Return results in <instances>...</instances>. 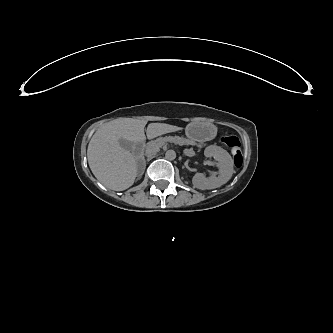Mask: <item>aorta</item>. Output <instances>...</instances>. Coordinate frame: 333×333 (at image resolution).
I'll return each mask as SVG.
<instances>
[{
    "mask_svg": "<svg viewBox=\"0 0 333 333\" xmlns=\"http://www.w3.org/2000/svg\"><path fill=\"white\" fill-rule=\"evenodd\" d=\"M176 158V152L174 150H168L165 153V159L172 161Z\"/></svg>",
    "mask_w": 333,
    "mask_h": 333,
    "instance_id": "obj_1",
    "label": "aorta"
}]
</instances>
